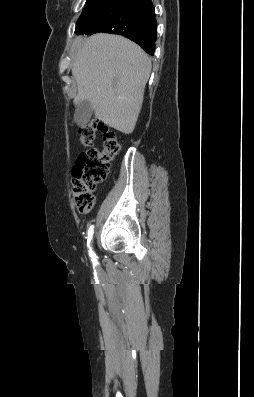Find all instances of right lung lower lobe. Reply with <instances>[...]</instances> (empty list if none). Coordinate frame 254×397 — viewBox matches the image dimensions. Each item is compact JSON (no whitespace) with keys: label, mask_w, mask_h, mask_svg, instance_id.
I'll return each mask as SVG.
<instances>
[{"label":"right lung lower lobe","mask_w":254,"mask_h":397,"mask_svg":"<svg viewBox=\"0 0 254 397\" xmlns=\"http://www.w3.org/2000/svg\"><path fill=\"white\" fill-rule=\"evenodd\" d=\"M123 35L154 55L157 22L151 0H106L98 12L75 31Z\"/></svg>","instance_id":"obj_1"}]
</instances>
